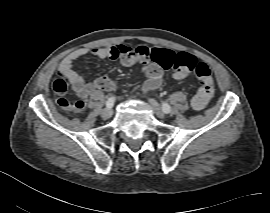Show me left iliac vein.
<instances>
[{"label":"left iliac vein","instance_id":"obj_1","mask_svg":"<svg viewBox=\"0 0 270 213\" xmlns=\"http://www.w3.org/2000/svg\"><path fill=\"white\" fill-rule=\"evenodd\" d=\"M149 103L153 107L154 112H155L157 117H159V118L165 117V112L162 110L161 106L159 105V103L156 100L149 99Z\"/></svg>","mask_w":270,"mask_h":213}]
</instances>
